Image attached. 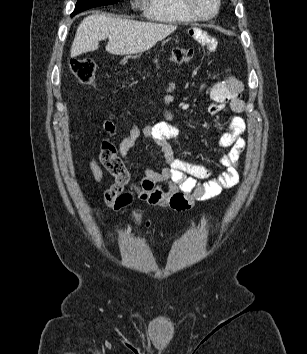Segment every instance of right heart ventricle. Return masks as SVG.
Returning <instances> with one entry per match:
<instances>
[{
    "mask_svg": "<svg viewBox=\"0 0 307 354\" xmlns=\"http://www.w3.org/2000/svg\"><path fill=\"white\" fill-rule=\"evenodd\" d=\"M144 14L163 23L187 24L195 20L185 10L183 0H145Z\"/></svg>",
    "mask_w": 307,
    "mask_h": 354,
    "instance_id": "obj_1",
    "label": "right heart ventricle"
}]
</instances>
